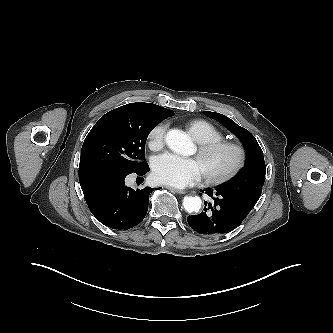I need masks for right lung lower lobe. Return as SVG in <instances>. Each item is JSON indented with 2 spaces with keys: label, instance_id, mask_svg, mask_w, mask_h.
Wrapping results in <instances>:
<instances>
[{
  "label": "right lung lower lobe",
  "instance_id": "98d812e1",
  "mask_svg": "<svg viewBox=\"0 0 333 333\" xmlns=\"http://www.w3.org/2000/svg\"><path fill=\"white\" fill-rule=\"evenodd\" d=\"M149 171L146 164L138 171ZM132 171L112 167H92L79 170V182L91 213L102 224L113 229L127 230L138 225L148 210L149 195L154 188L134 190L125 185Z\"/></svg>",
  "mask_w": 333,
  "mask_h": 333
}]
</instances>
